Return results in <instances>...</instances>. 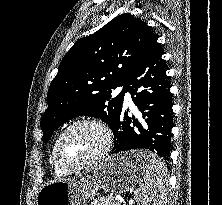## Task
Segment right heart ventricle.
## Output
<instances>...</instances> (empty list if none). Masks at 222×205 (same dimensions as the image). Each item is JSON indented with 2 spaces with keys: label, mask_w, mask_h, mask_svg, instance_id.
<instances>
[{
  "label": "right heart ventricle",
  "mask_w": 222,
  "mask_h": 205,
  "mask_svg": "<svg viewBox=\"0 0 222 205\" xmlns=\"http://www.w3.org/2000/svg\"><path fill=\"white\" fill-rule=\"evenodd\" d=\"M51 161H52L54 173H55L57 176H64V175H66V174L68 173V172L62 170L60 167L57 166V164L54 162L52 156H51Z\"/></svg>",
  "instance_id": "obj_1"
}]
</instances>
